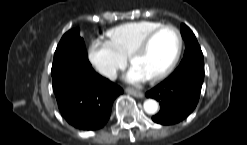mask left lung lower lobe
<instances>
[{
	"instance_id": "1",
	"label": "left lung lower lobe",
	"mask_w": 247,
	"mask_h": 145,
	"mask_svg": "<svg viewBox=\"0 0 247 145\" xmlns=\"http://www.w3.org/2000/svg\"><path fill=\"white\" fill-rule=\"evenodd\" d=\"M204 80V59L187 58L163 82L146 93L160 103V111L152 120L162 125L175 124L195 109Z\"/></svg>"
}]
</instances>
